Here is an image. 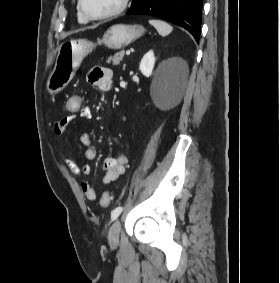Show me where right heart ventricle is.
I'll use <instances>...</instances> for the list:
<instances>
[{
  "mask_svg": "<svg viewBox=\"0 0 280 283\" xmlns=\"http://www.w3.org/2000/svg\"><path fill=\"white\" fill-rule=\"evenodd\" d=\"M76 9H77V19H78V21L82 24L87 23V19H85L83 17V15L80 13L78 5H77Z\"/></svg>",
  "mask_w": 280,
  "mask_h": 283,
  "instance_id": "e07e8e85",
  "label": "right heart ventricle"
}]
</instances>
